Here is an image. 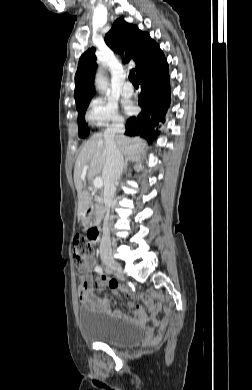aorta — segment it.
Masks as SVG:
<instances>
[{"label":"aorta","mask_w":252,"mask_h":390,"mask_svg":"<svg viewBox=\"0 0 252 390\" xmlns=\"http://www.w3.org/2000/svg\"><path fill=\"white\" fill-rule=\"evenodd\" d=\"M95 87L99 91H103L108 87V80L104 76V73L102 70H98V72L96 74Z\"/></svg>","instance_id":"762f6f07"}]
</instances>
